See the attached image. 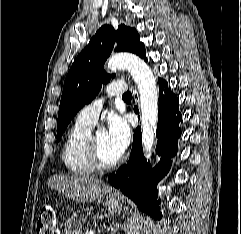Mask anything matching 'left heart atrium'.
<instances>
[{"instance_id":"left-heart-atrium-1","label":"left heart atrium","mask_w":241,"mask_h":234,"mask_svg":"<svg viewBox=\"0 0 241 234\" xmlns=\"http://www.w3.org/2000/svg\"><path fill=\"white\" fill-rule=\"evenodd\" d=\"M107 135L112 146L121 154L130 143V128L125 118L119 115H111L108 118Z\"/></svg>"}]
</instances>
